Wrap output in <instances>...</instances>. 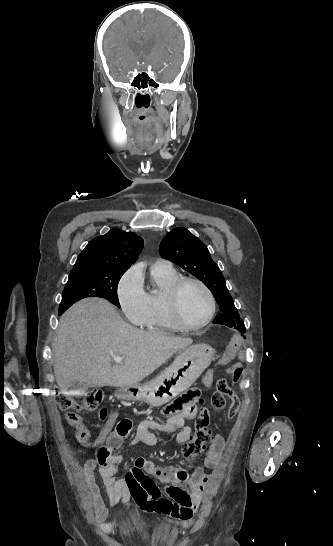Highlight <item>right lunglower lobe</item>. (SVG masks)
I'll use <instances>...</instances> for the list:
<instances>
[{
    "label": "right lung lower lobe",
    "instance_id": "98d812e1",
    "mask_svg": "<svg viewBox=\"0 0 333 546\" xmlns=\"http://www.w3.org/2000/svg\"><path fill=\"white\" fill-rule=\"evenodd\" d=\"M64 311L63 310H59V315H61Z\"/></svg>",
    "mask_w": 333,
    "mask_h": 546
}]
</instances>
